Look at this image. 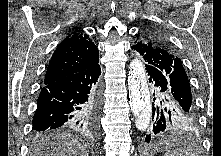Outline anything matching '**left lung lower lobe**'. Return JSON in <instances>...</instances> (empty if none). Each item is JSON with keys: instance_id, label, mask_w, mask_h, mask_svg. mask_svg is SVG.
I'll return each mask as SVG.
<instances>
[{"instance_id": "1", "label": "left lung lower lobe", "mask_w": 221, "mask_h": 156, "mask_svg": "<svg viewBox=\"0 0 221 156\" xmlns=\"http://www.w3.org/2000/svg\"><path fill=\"white\" fill-rule=\"evenodd\" d=\"M151 85V121L145 142L157 141L165 136L186 131L195 126L196 112L187 111L172 94L170 76L160 69L146 67ZM151 105V104H150Z\"/></svg>"}]
</instances>
